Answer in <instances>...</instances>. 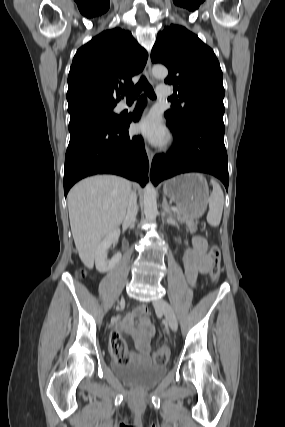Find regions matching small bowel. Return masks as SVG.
<instances>
[{"mask_svg": "<svg viewBox=\"0 0 285 427\" xmlns=\"http://www.w3.org/2000/svg\"><path fill=\"white\" fill-rule=\"evenodd\" d=\"M207 247L205 238L195 236L192 239V247L183 253L184 272L191 285L196 283L199 274L206 273L210 269L212 261L207 253ZM147 315L148 308L144 305L138 306L119 321L112 332V336H120V332H125L133 340L135 350L128 353L125 361L150 360V337L155 334V328Z\"/></svg>", "mask_w": 285, "mask_h": 427, "instance_id": "obj_1", "label": "small bowel"}]
</instances>
